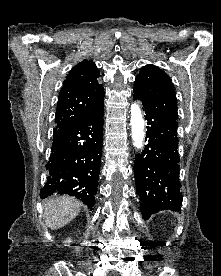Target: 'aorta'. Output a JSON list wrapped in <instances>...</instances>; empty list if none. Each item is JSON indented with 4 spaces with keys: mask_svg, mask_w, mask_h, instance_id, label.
Here are the masks:
<instances>
[{
    "mask_svg": "<svg viewBox=\"0 0 221 276\" xmlns=\"http://www.w3.org/2000/svg\"><path fill=\"white\" fill-rule=\"evenodd\" d=\"M131 129H132V139L134 145L140 149L144 141V120L142 117V112L137 104H132L131 106V119H130Z\"/></svg>",
    "mask_w": 221,
    "mask_h": 276,
    "instance_id": "762f6f07",
    "label": "aorta"
}]
</instances>
